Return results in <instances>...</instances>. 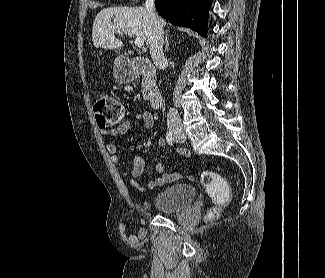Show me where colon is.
<instances>
[{
    "instance_id": "obj_1",
    "label": "colon",
    "mask_w": 325,
    "mask_h": 278,
    "mask_svg": "<svg viewBox=\"0 0 325 278\" xmlns=\"http://www.w3.org/2000/svg\"><path fill=\"white\" fill-rule=\"evenodd\" d=\"M94 113L101 128H109L120 124L125 117L122 103L108 94L99 95L94 103ZM201 181L206 191L216 203H225L229 199L230 186L226 179L214 171L205 170ZM217 216L216 209L209 211L207 219L212 220Z\"/></svg>"
}]
</instances>
